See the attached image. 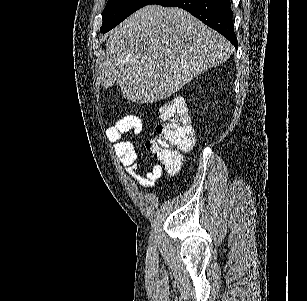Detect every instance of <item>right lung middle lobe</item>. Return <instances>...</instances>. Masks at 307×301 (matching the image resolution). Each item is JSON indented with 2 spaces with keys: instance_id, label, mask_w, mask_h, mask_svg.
Masks as SVG:
<instances>
[{
  "instance_id": "dd1d6c3e",
  "label": "right lung middle lobe",
  "mask_w": 307,
  "mask_h": 301,
  "mask_svg": "<svg viewBox=\"0 0 307 301\" xmlns=\"http://www.w3.org/2000/svg\"><path fill=\"white\" fill-rule=\"evenodd\" d=\"M154 1L155 0H108L102 12L103 24L101 32H108L133 12Z\"/></svg>"
}]
</instances>
